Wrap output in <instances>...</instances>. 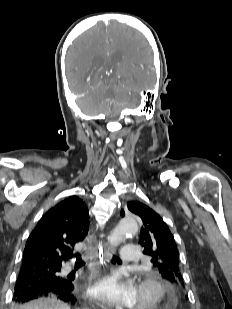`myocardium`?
<instances>
[{"label":"myocardium","instance_id":"myocardium-1","mask_svg":"<svg viewBox=\"0 0 232 309\" xmlns=\"http://www.w3.org/2000/svg\"><path fill=\"white\" fill-rule=\"evenodd\" d=\"M138 290H147L148 299L135 309H159L167 297V288L152 274H143L138 283Z\"/></svg>","mask_w":232,"mask_h":309}]
</instances>
